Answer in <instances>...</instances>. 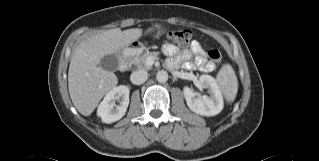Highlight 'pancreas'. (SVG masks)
I'll return each mask as SVG.
<instances>
[{"label": "pancreas", "mask_w": 319, "mask_h": 161, "mask_svg": "<svg viewBox=\"0 0 319 161\" xmlns=\"http://www.w3.org/2000/svg\"><path fill=\"white\" fill-rule=\"evenodd\" d=\"M148 57L156 58L157 54L154 52H144V53L138 54V55L130 58L129 64L136 65L138 67V69L149 70V69H151V66L146 64V59Z\"/></svg>", "instance_id": "obj_1"}]
</instances>
